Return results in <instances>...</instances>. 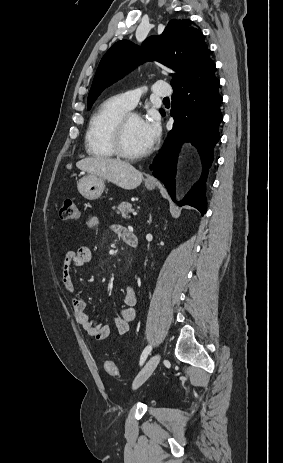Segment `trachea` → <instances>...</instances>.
Wrapping results in <instances>:
<instances>
[{
	"mask_svg": "<svg viewBox=\"0 0 283 463\" xmlns=\"http://www.w3.org/2000/svg\"><path fill=\"white\" fill-rule=\"evenodd\" d=\"M165 101H169V98H164Z\"/></svg>",
	"mask_w": 283,
	"mask_h": 463,
	"instance_id": "obj_1",
	"label": "trachea"
}]
</instances>
